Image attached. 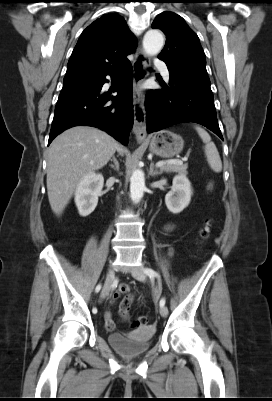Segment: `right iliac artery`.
<instances>
[{"label":"right iliac artery","mask_w":272,"mask_h":401,"mask_svg":"<svg viewBox=\"0 0 272 401\" xmlns=\"http://www.w3.org/2000/svg\"><path fill=\"white\" fill-rule=\"evenodd\" d=\"M100 289H101V285L99 284V285H97L96 286V289H95V291L96 292H99L100 291ZM92 312L95 314V313H97V309H96V307H94L93 309H92Z\"/></svg>","instance_id":"right-iliac-artery-1"}]
</instances>
